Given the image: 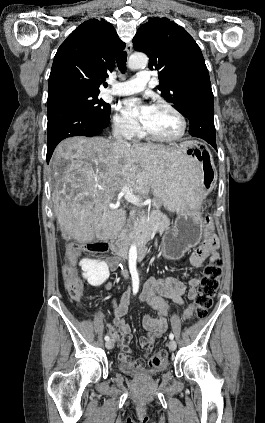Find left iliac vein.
<instances>
[{"label": "left iliac vein", "instance_id": "1", "mask_svg": "<svg viewBox=\"0 0 265 423\" xmlns=\"http://www.w3.org/2000/svg\"><path fill=\"white\" fill-rule=\"evenodd\" d=\"M168 347L171 351H174L177 347V344L174 340H170L169 343H168Z\"/></svg>", "mask_w": 265, "mask_h": 423}]
</instances>
